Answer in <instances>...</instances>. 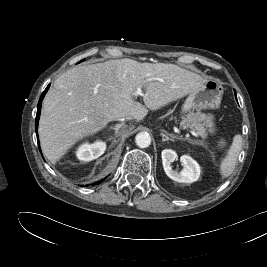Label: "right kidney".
<instances>
[{
  "label": "right kidney",
  "mask_w": 267,
  "mask_h": 267,
  "mask_svg": "<svg viewBox=\"0 0 267 267\" xmlns=\"http://www.w3.org/2000/svg\"><path fill=\"white\" fill-rule=\"evenodd\" d=\"M106 149V143L97 140L93 144L84 143L79 146L76 156L79 160L89 162L100 157Z\"/></svg>",
  "instance_id": "right-kidney-1"
}]
</instances>
